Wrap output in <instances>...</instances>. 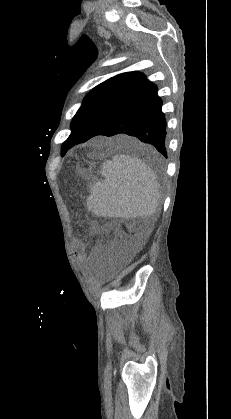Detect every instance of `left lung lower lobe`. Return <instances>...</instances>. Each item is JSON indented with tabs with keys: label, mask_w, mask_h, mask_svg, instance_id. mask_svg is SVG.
Segmentation results:
<instances>
[{
	"label": "left lung lower lobe",
	"mask_w": 231,
	"mask_h": 419,
	"mask_svg": "<svg viewBox=\"0 0 231 419\" xmlns=\"http://www.w3.org/2000/svg\"><path fill=\"white\" fill-rule=\"evenodd\" d=\"M157 87L147 79L122 103L111 110L86 136L127 134L153 145L167 158L166 120ZM81 142V143H82Z\"/></svg>",
	"instance_id": "obj_1"
}]
</instances>
